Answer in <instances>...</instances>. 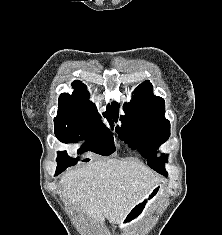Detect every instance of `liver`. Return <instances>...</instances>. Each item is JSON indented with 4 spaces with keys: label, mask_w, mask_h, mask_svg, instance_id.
I'll use <instances>...</instances> for the list:
<instances>
[{
    "label": "liver",
    "mask_w": 222,
    "mask_h": 235,
    "mask_svg": "<svg viewBox=\"0 0 222 235\" xmlns=\"http://www.w3.org/2000/svg\"><path fill=\"white\" fill-rule=\"evenodd\" d=\"M163 180L146 166L110 158L67 172L61 177L63 195L94 222L105 218L120 224L131 208Z\"/></svg>",
    "instance_id": "1"
}]
</instances>
